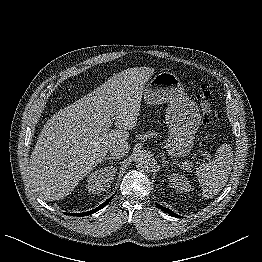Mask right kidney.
<instances>
[{"mask_svg": "<svg viewBox=\"0 0 262 262\" xmlns=\"http://www.w3.org/2000/svg\"><path fill=\"white\" fill-rule=\"evenodd\" d=\"M115 169L112 167H105L91 173L87 179L86 188L89 193L99 194L107 191L114 180Z\"/></svg>", "mask_w": 262, "mask_h": 262, "instance_id": "right-kidney-1", "label": "right kidney"}]
</instances>
